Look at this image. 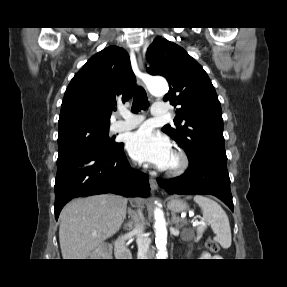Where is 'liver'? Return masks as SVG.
Segmentation results:
<instances>
[{"label":"liver","mask_w":287,"mask_h":287,"mask_svg":"<svg viewBox=\"0 0 287 287\" xmlns=\"http://www.w3.org/2000/svg\"><path fill=\"white\" fill-rule=\"evenodd\" d=\"M126 210L127 200L113 194L78 198L68 203L60 214L63 259H86L120 229Z\"/></svg>","instance_id":"obj_1"}]
</instances>
